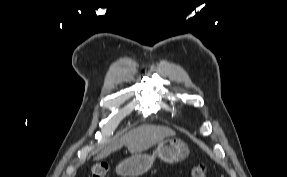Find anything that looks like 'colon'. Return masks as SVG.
Returning <instances> with one entry per match:
<instances>
[{
	"label": "colon",
	"instance_id": "colon-1",
	"mask_svg": "<svg viewBox=\"0 0 287 177\" xmlns=\"http://www.w3.org/2000/svg\"><path fill=\"white\" fill-rule=\"evenodd\" d=\"M110 170V165L107 162H97L92 167V177H105ZM190 177H206L207 166L205 163H197L189 169Z\"/></svg>",
	"mask_w": 287,
	"mask_h": 177
}]
</instances>
